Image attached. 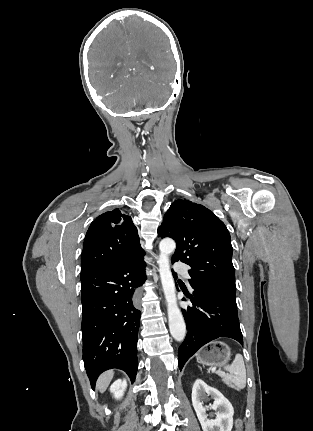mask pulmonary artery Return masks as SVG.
I'll return each mask as SVG.
<instances>
[{
    "label": "pulmonary artery",
    "instance_id": "e3ab8cb5",
    "mask_svg": "<svg viewBox=\"0 0 313 431\" xmlns=\"http://www.w3.org/2000/svg\"><path fill=\"white\" fill-rule=\"evenodd\" d=\"M174 270L183 275L186 279L190 277L187 266L182 262L175 263Z\"/></svg>",
    "mask_w": 313,
    "mask_h": 431
}]
</instances>
